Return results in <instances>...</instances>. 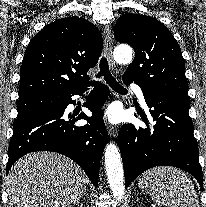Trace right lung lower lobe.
<instances>
[{
    "mask_svg": "<svg viewBox=\"0 0 206 207\" xmlns=\"http://www.w3.org/2000/svg\"><path fill=\"white\" fill-rule=\"evenodd\" d=\"M89 84L62 94L61 108L58 110L36 112L14 121L6 173L16 160L27 153L53 151L75 161L85 171L94 186H97L99 162L108 141L101 107L108 98L109 88L97 83L88 96L84 105L92 111L91 117L85 113L66 111L69 104H75L71 97L82 94ZM80 119L88 120L89 124L75 126L74 123Z\"/></svg>",
    "mask_w": 206,
    "mask_h": 207,
    "instance_id": "right-lung-lower-lobe-1",
    "label": "right lung lower lobe"
}]
</instances>
